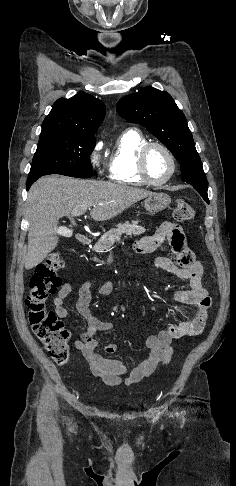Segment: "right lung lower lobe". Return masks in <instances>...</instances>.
Masks as SVG:
<instances>
[{"label": "right lung lower lobe", "mask_w": 236, "mask_h": 486, "mask_svg": "<svg viewBox=\"0 0 236 486\" xmlns=\"http://www.w3.org/2000/svg\"><path fill=\"white\" fill-rule=\"evenodd\" d=\"M40 177H36V178H33V179H30L28 180L27 182V186H26V189L29 190L30 186Z\"/></svg>", "instance_id": "right-lung-lower-lobe-1"}]
</instances>
